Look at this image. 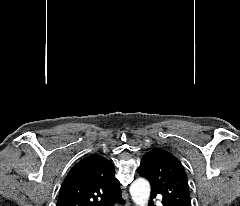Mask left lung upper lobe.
Instances as JSON below:
<instances>
[{"instance_id":"5c2ea615","label":"left lung upper lobe","mask_w":240,"mask_h":206,"mask_svg":"<svg viewBox=\"0 0 240 206\" xmlns=\"http://www.w3.org/2000/svg\"><path fill=\"white\" fill-rule=\"evenodd\" d=\"M137 172L150 182L151 194L162 195L164 206H191L184 167L170 152L160 148L150 150L143 156Z\"/></svg>"}]
</instances>
